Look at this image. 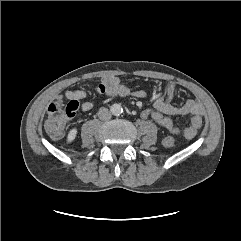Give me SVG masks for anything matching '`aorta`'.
Listing matches in <instances>:
<instances>
[{
    "mask_svg": "<svg viewBox=\"0 0 241 241\" xmlns=\"http://www.w3.org/2000/svg\"><path fill=\"white\" fill-rule=\"evenodd\" d=\"M111 111L114 115H120L123 109L120 104H114L111 108Z\"/></svg>",
    "mask_w": 241,
    "mask_h": 241,
    "instance_id": "obj_1",
    "label": "aorta"
}]
</instances>
